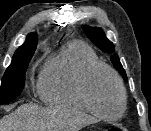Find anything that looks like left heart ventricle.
Masks as SVG:
<instances>
[{"label": "left heart ventricle", "instance_id": "left-heart-ventricle-1", "mask_svg": "<svg viewBox=\"0 0 151 131\" xmlns=\"http://www.w3.org/2000/svg\"><path fill=\"white\" fill-rule=\"evenodd\" d=\"M90 93L96 108L106 115H116L121 108V95L113 78L104 71L91 80Z\"/></svg>", "mask_w": 151, "mask_h": 131}]
</instances>
